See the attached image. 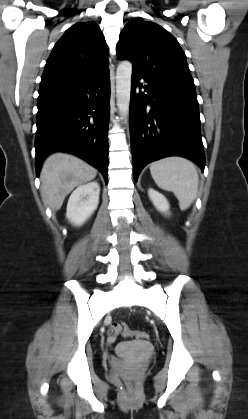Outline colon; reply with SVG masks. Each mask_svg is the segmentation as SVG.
Segmentation results:
<instances>
[{
	"label": "colon",
	"instance_id": "obj_1",
	"mask_svg": "<svg viewBox=\"0 0 248 419\" xmlns=\"http://www.w3.org/2000/svg\"><path fill=\"white\" fill-rule=\"evenodd\" d=\"M111 330H112L111 336H114V337L116 334L120 333L124 337H127V338L134 337L140 340H149L150 338L147 332L131 330L124 323H114L112 325Z\"/></svg>",
	"mask_w": 248,
	"mask_h": 419
}]
</instances>
